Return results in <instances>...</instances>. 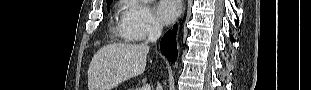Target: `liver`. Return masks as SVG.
<instances>
[{
    "mask_svg": "<svg viewBox=\"0 0 311 90\" xmlns=\"http://www.w3.org/2000/svg\"><path fill=\"white\" fill-rule=\"evenodd\" d=\"M146 44H109L100 48L88 69L89 90H112L145 71Z\"/></svg>",
    "mask_w": 311,
    "mask_h": 90,
    "instance_id": "liver-1",
    "label": "liver"
}]
</instances>
